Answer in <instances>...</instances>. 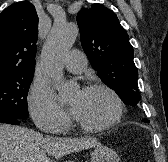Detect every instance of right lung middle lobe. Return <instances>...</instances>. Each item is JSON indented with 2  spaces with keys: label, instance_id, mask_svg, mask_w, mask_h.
<instances>
[{
  "label": "right lung middle lobe",
  "instance_id": "right-lung-middle-lobe-1",
  "mask_svg": "<svg viewBox=\"0 0 168 162\" xmlns=\"http://www.w3.org/2000/svg\"><path fill=\"white\" fill-rule=\"evenodd\" d=\"M34 71L0 78V116L16 119L28 117L27 94Z\"/></svg>",
  "mask_w": 168,
  "mask_h": 162
}]
</instances>
